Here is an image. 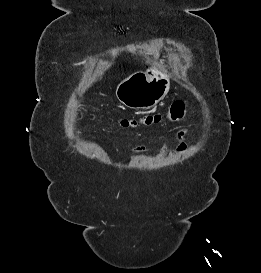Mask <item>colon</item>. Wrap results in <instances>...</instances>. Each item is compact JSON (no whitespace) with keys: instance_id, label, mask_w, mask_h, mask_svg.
I'll return each instance as SVG.
<instances>
[{"instance_id":"1","label":"colon","mask_w":261,"mask_h":273,"mask_svg":"<svg viewBox=\"0 0 261 273\" xmlns=\"http://www.w3.org/2000/svg\"><path fill=\"white\" fill-rule=\"evenodd\" d=\"M186 112H187L186 103H184L183 101H175L169 106V108L166 110L164 114L162 113L148 114L142 117L139 120V122L141 124L151 126L159 124L165 117L172 121H178L185 116ZM120 123L123 127H129L136 125L137 120L123 119Z\"/></svg>"}]
</instances>
